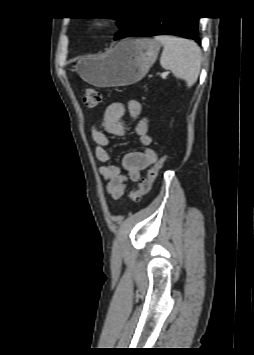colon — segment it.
<instances>
[{
  "label": "colon",
  "instance_id": "colon-1",
  "mask_svg": "<svg viewBox=\"0 0 254 355\" xmlns=\"http://www.w3.org/2000/svg\"><path fill=\"white\" fill-rule=\"evenodd\" d=\"M82 101L87 108H95L101 104L102 96L98 91L92 88H85L82 93ZM166 160V156H161L149 169L147 176L139 180L138 188L131 192L130 195L132 202H139L141 197L150 191L153 182L156 180L160 170L165 165Z\"/></svg>",
  "mask_w": 254,
  "mask_h": 355
}]
</instances>
